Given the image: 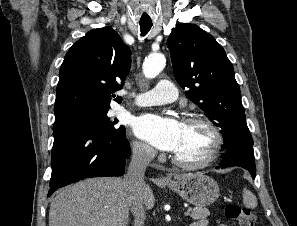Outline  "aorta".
Wrapping results in <instances>:
<instances>
[{
    "label": "aorta",
    "instance_id": "aorta-1",
    "mask_svg": "<svg viewBox=\"0 0 297 226\" xmlns=\"http://www.w3.org/2000/svg\"><path fill=\"white\" fill-rule=\"evenodd\" d=\"M165 57L162 54H151L143 63V74L146 78H155L165 66Z\"/></svg>",
    "mask_w": 297,
    "mask_h": 226
}]
</instances>
